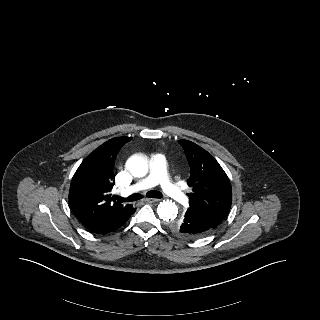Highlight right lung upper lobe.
<instances>
[{"instance_id": "cb5924a9", "label": "right lung upper lobe", "mask_w": 320, "mask_h": 320, "mask_svg": "<svg viewBox=\"0 0 320 320\" xmlns=\"http://www.w3.org/2000/svg\"><path fill=\"white\" fill-rule=\"evenodd\" d=\"M130 140V137H116L103 143L83 160L72 178L69 204L87 229L126 214L132 207L117 202L110 194L115 184V157Z\"/></svg>"}]
</instances>
